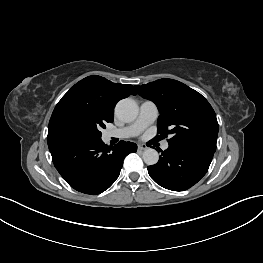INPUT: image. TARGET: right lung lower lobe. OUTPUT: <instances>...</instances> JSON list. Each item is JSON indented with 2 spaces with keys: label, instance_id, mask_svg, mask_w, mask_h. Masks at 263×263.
Wrapping results in <instances>:
<instances>
[{
  "label": "right lung lower lobe",
  "instance_id": "98d812e1",
  "mask_svg": "<svg viewBox=\"0 0 263 263\" xmlns=\"http://www.w3.org/2000/svg\"><path fill=\"white\" fill-rule=\"evenodd\" d=\"M136 150L132 142L120 141L112 148L100 139L60 145L50 152L56 169L72 188L96 195L115 182L124 158Z\"/></svg>",
  "mask_w": 263,
  "mask_h": 263
}]
</instances>
